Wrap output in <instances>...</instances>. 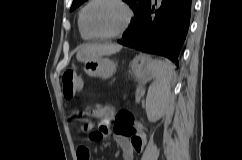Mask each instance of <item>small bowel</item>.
Masks as SVG:
<instances>
[{
	"instance_id": "1",
	"label": "small bowel",
	"mask_w": 242,
	"mask_h": 160,
	"mask_svg": "<svg viewBox=\"0 0 242 160\" xmlns=\"http://www.w3.org/2000/svg\"><path fill=\"white\" fill-rule=\"evenodd\" d=\"M109 122V116L106 115L102 119L101 128L99 130L102 135L109 131V128L106 126ZM113 130L115 133V141L122 151V159L133 160L134 154L141 152L145 144V132L143 128L139 126L132 133H119L115 131L114 125ZM77 158L78 160H90V151L86 145H80L77 148Z\"/></svg>"
}]
</instances>
